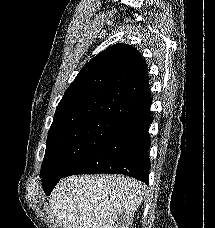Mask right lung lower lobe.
<instances>
[{"label": "right lung lower lobe", "instance_id": "1", "mask_svg": "<svg viewBox=\"0 0 215 228\" xmlns=\"http://www.w3.org/2000/svg\"><path fill=\"white\" fill-rule=\"evenodd\" d=\"M152 113L128 123L72 167L65 175L113 173L124 174L148 184Z\"/></svg>", "mask_w": 215, "mask_h": 228}]
</instances>
